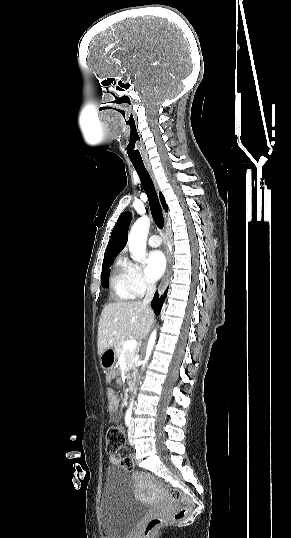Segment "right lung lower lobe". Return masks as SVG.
Listing matches in <instances>:
<instances>
[{
  "label": "right lung lower lobe",
  "instance_id": "98d812e1",
  "mask_svg": "<svg viewBox=\"0 0 291 538\" xmlns=\"http://www.w3.org/2000/svg\"><path fill=\"white\" fill-rule=\"evenodd\" d=\"M166 295H167V291H165L164 296H161V298H159L158 293L156 292L155 297L151 303L156 314H159L162 308L164 299L166 298Z\"/></svg>",
  "mask_w": 291,
  "mask_h": 538
}]
</instances>
